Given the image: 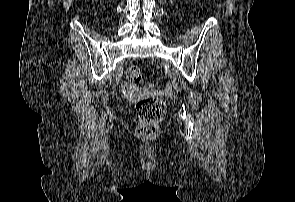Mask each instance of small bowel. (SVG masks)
I'll use <instances>...</instances> for the list:
<instances>
[{"mask_svg": "<svg viewBox=\"0 0 295 202\" xmlns=\"http://www.w3.org/2000/svg\"><path fill=\"white\" fill-rule=\"evenodd\" d=\"M122 86L128 103H133V98H154V93H150V89H142V85H131V81H122Z\"/></svg>", "mask_w": 295, "mask_h": 202, "instance_id": "small-bowel-1", "label": "small bowel"}]
</instances>
